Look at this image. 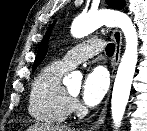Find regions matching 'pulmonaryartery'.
I'll return each mask as SVG.
<instances>
[{
  "label": "pulmonary artery",
  "instance_id": "pulmonary-artery-1",
  "mask_svg": "<svg viewBox=\"0 0 147 131\" xmlns=\"http://www.w3.org/2000/svg\"><path fill=\"white\" fill-rule=\"evenodd\" d=\"M103 49L100 39H90L69 50L58 62L67 69H72L79 63L99 54Z\"/></svg>",
  "mask_w": 147,
  "mask_h": 131
}]
</instances>
